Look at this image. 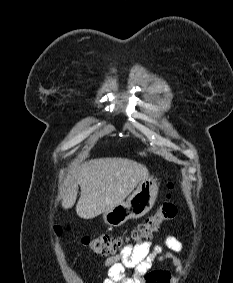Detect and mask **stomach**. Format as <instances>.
<instances>
[{"label":"stomach","instance_id":"0dacf381","mask_svg":"<svg viewBox=\"0 0 233 283\" xmlns=\"http://www.w3.org/2000/svg\"><path fill=\"white\" fill-rule=\"evenodd\" d=\"M157 194V179L148 175L125 202L103 213L104 222L109 226L118 227L129 219L144 216L153 207Z\"/></svg>","mask_w":233,"mask_h":283}]
</instances>
